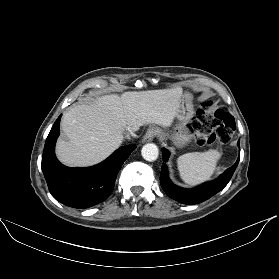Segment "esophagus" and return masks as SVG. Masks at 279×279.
<instances>
[{
    "instance_id": "34e87169",
    "label": "esophagus",
    "mask_w": 279,
    "mask_h": 279,
    "mask_svg": "<svg viewBox=\"0 0 279 279\" xmlns=\"http://www.w3.org/2000/svg\"><path fill=\"white\" fill-rule=\"evenodd\" d=\"M158 135V130L155 127H150L144 137H143V142H150L152 141L156 136Z\"/></svg>"
}]
</instances>
